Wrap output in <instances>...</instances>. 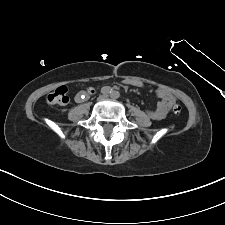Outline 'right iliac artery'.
Wrapping results in <instances>:
<instances>
[{
  "label": "right iliac artery",
  "instance_id": "82829eb1",
  "mask_svg": "<svg viewBox=\"0 0 225 225\" xmlns=\"http://www.w3.org/2000/svg\"><path fill=\"white\" fill-rule=\"evenodd\" d=\"M101 93L105 94V95L110 94V93H112V88L105 86L101 89Z\"/></svg>",
  "mask_w": 225,
  "mask_h": 225
}]
</instances>
